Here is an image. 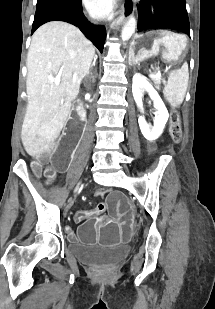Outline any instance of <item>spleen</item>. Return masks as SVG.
Here are the masks:
<instances>
[{"mask_svg":"<svg viewBox=\"0 0 215 309\" xmlns=\"http://www.w3.org/2000/svg\"><path fill=\"white\" fill-rule=\"evenodd\" d=\"M187 80L184 78V66L181 70H172L166 86H164V96L171 106H180L184 100Z\"/></svg>","mask_w":215,"mask_h":309,"instance_id":"spleen-1","label":"spleen"}]
</instances>
